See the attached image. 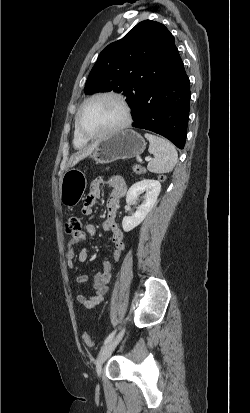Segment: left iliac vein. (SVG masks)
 <instances>
[{
  "mask_svg": "<svg viewBox=\"0 0 250 413\" xmlns=\"http://www.w3.org/2000/svg\"><path fill=\"white\" fill-rule=\"evenodd\" d=\"M124 329L119 332V334L113 338L111 341H109L99 352L97 360H96V371L98 376L101 374L102 370V365L103 363L109 358V356L112 354L113 350L115 347L119 344L121 341L123 335H124Z\"/></svg>",
  "mask_w": 250,
  "mask_h": 413,
  "instance_id": "1",
  "label": "left iliac vein"
}]
</instances>
